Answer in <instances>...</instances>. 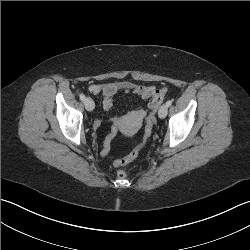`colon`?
Instances as JSON below:
<instances>
[{"instance_id":"colon-1","label":"colon","mask_w":250,"mask_h":250,"mask_svg":"<svg viewBox=\"0 0 250 250\" xmlns=\"http://www.w3.org/2000/svg\"><path fill=\"white\" fill-rule=\"evenodd\" d=\"M166 91H167L166 87L156 90V93L154 95V98L151 104L150 113L146 118L144 135H143L142 141L138 145H136L126 157H124L121 160H115L113 162L114 166L121 167L117 172V175L119 178L126 177L127 167L131 165V163L138 157L142 149L146 146L151 136L153 126L155 124V111L163 102ZM118 130H119L118 123H113V125L110 127V130L105 135V138L102 140V149L100 151V154L103 157H106L110 153L111 146L116 140V134L118 133Z\"/></svg>"}]
</instances>
